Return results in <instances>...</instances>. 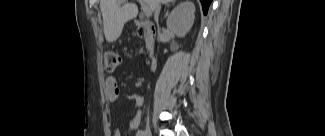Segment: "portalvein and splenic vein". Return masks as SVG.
Instances as JSON below:
<instances>
[{"mask_svg": "<svg viewBox=\"0 0 325 136\" xmlns=\"http://www.w3.org/2000/svg\"><path fill=\"white\" fill-rule=\"evenodd\" d=\"M139 2H141L142 11H143L144 16L145 17H150L151 16V10L149 9V7L144 4V1L139 0Z\"/></svg>", "mask_w": 325, "mask_h": 136, "instance_id": "obj_1", "label": "portal vein and splenic vein"}]
</instances>
